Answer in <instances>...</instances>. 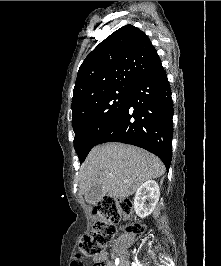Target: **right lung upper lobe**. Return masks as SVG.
<instances>
[{
	"label": "right lung upper lobe",
	"instance_id": "1",
	"mask_svg": "<svg viewBox=\"0 0 221 266\" xmlns=\"http://www.w3.org/2000/svg\"><path fill=\"white\" fill-rule=\"evenodd\" d=\"M161 64L147 35L126 25L102 41L79 68L72 99V115L84 101L99 92L132 87L142 76Z\"/></svg>",
	"mask_w": 221,
	"mask_h": 266
}]
</instances>
